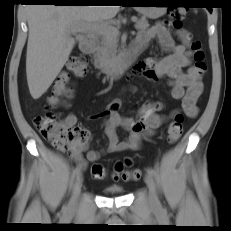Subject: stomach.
Listing matches in <instances>:
<instances>
[{
    "instance_id": "obj_1",
    "label": "stomach",
    "mask_w": 231,
    "mask_h": 231,
    "mask_svg": "<svg viewBox=\"0 0 231 231\" xmlns=\"http://www.w3.org/2000/svg\"><path fill=\"white\" fill-rule=\"evenodd\" d=\"M147 3L148 4L145 5L144 7H136V10L146 17L157 18V17L163 15L166 11V7H154V5H149V4H153V3L159 4V2H157V1H147Z\"/></svg>"
}]
</instances>
